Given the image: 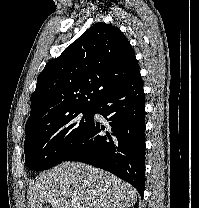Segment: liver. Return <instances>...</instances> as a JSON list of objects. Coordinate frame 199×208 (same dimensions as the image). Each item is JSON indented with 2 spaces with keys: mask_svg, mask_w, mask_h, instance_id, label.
Listing matches in <instances>:
<instances>
[{
  "mask_svg": "<svg viewBox=\"0 0 199 208\" xmlns=\"http://www.w3.org/2000/svg\"><path fill=\"white\" fill-rule=\"evenodd\" d=\"M137 201L129 183L102 169L84 163L63 162L44 171L28 189V208H127ZM73 206V205H72Z\"/></svg>",
  "mask_w": 199,
  "mask_h": 208,
  "instance_id": "obj_1",
  "label": "liver"
}]
</instances>
